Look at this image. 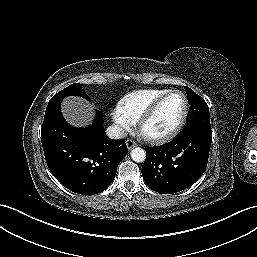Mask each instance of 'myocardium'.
<instances>
[{
    "instance_id": "myocardium-1",
    "label": "myocardium",
    "mask_w": 257,
    "mask_h": 257,
    "mask_svg": "<svg viewBox=\"0 0 257 257\" xmlns=\"http://www.w3.org/2000/svg\"><path fill=\"white\" fill-rule=\"evenodd\" d=\"M173 94H180L184 100V109L182 116L176 126L170 130L169 132L162 134V135H149L145 132V125L146 123L154 116V114L157 112V110L160 108V106L163 104V102L171 95ZM189 112V102L187 99V96L180 90H170L164 95L160 96L158 99H156L147 109L146 111L141 115V117L138 120V131L141 137L153 144H162L166 143L173 138H175L179 132L182 130L187 116Z\"/></svg>"
}]
</instances>
